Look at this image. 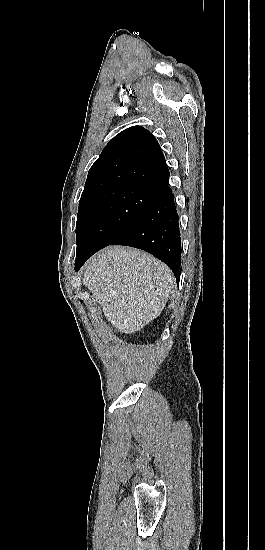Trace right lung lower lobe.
I'll list each match as a JSON object with an SVG mask.
<instances>
[{"label":"right lung lower lobe","mask_w":265,"mask_h":550,"mask_svg":"<svg viewBox=\"0 0 265 550\" xmlns=\"http://www.w3.org/2000/svg\"><path fill=\"white\" fill-rule=\"evenodd\" d=\"M168 182L169 177L161 184L154 200L142 215L109 245L132 246L151 253L171 268L179 283L181 237L174 195ZM94 253L78 259L75 262V270L78 271Z\"/></svg>","instance_id":"1"}]
</instances>
